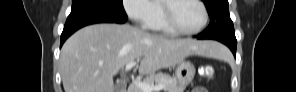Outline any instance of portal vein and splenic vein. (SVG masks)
<instances>
[{
  "instance_id": "18ae733b",
  "label": "portal vein and splenic vein",
  "mask_w": 296,
  "mask_h": 92,
  "mask_svg": "<svg viewBox=\"0 0 296 92\" xmlns=\"http://www.w3.org/2000/svg\"><path fill=\"white\" fill-rule=\"evenodd\" d=\"M136 65H137V61H132L130 63H127L125 66V70L129 71L130 69H132ZM132 81H133L134 85H136L137 87H139L142 90V92H156V91H159L165 87L164 84L150 85V84L145 83L143 81L135 80L133 78V76H132Z\"/></svg>"
}]
</instances>
